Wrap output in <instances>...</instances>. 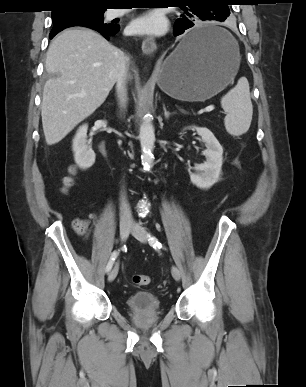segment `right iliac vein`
<instances>
[{
  "instance_id": "1",
  "label": "right iliac vein",
  "mask_w": 306,
  "mask_h": 387,
  "mask_svg": "<svg viewBox=\"0 0 306 387\" xmlns=\"http://www.w3.org/2000/svg\"><path fill=\"white\" fill-rule=\"evenodd\" d=\"M131 228H132V224L131 223H128V222H122L120 224V236H121V239L122 240H126L130 231H131ZM118 270H119V265L118 263L115 264V266L113 267V269L110 271V273L108 274V281H113L117 274H118Z\"/></svg>"
}]
</instances>
